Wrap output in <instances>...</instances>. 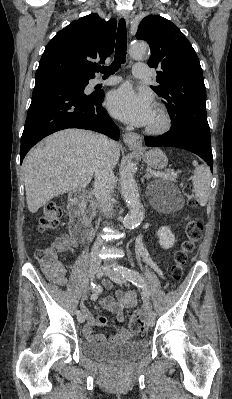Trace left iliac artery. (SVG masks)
Here are the masks:
<instances>
[{
    "instance_id": "obj_1",
    "label": "left iliac artery",
    "mask_w": 232,
    "mask_h": 399,
    "mask_svg": "<svg viewBox=\"0 0 232 399\" xmlns=\"http://www.w3.org/2000/svg\"><path fill=\"white\" fill-rule=\"evenodd\" d=\"M114 270H116L119 274L125 277L128 281L134 284L138 288H143L146 286V282L142 275L134 269L126 267L124 265H116ZM152 318L156 317V313L153 311L151 313Z\"/></svg>"
}]
</instances>
